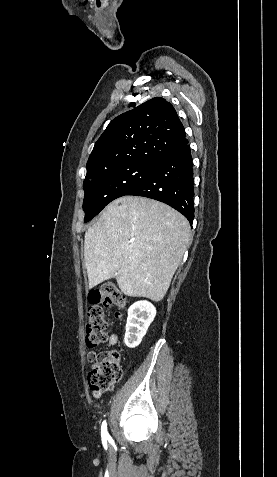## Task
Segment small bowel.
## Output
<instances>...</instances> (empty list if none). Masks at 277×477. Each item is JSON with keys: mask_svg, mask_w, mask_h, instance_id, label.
Returning a JSON list of instances; mask_svg holds the SVG:
<instances>
[{"mask_svg": "<svg viewBox=\"0 0 277 477\" xmlns=\"http://www.w3.org/2000/svg\"><path fill=\"white\" fill-rule=\"evenodd\" d=\"M118 341V336L116 334H112L109 336L107 341V346L100 349V350H92L87 354V359L90 363L95 362L96 360L100 359L101 357L106 356L109 353V348L115 345Z\"/></svg>", "mask_w": 277, "mask_h": 477, "instance_id": "small-bowel-1", "label": "small bowel"}]
</instances>
